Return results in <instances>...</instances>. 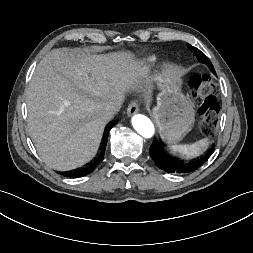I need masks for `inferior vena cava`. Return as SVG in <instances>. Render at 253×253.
<instances>
[{
    "label": "inferior vena cava",
    "instance_id": "602c4592",
    "mask_svg": "<svg viewBox=\"0 0 253 253\" xmlns=\"http://www.w3.org/2000/svg\"><path fill=\"white\" fill-rule=\"evenodd\" d=\"M123 100H118L116 102H109L105 105L104 115L108 119H111L121 108Z\"/></svg>",
    "mask_w": 253,
    "mask_h": 253
}]
</instances>
